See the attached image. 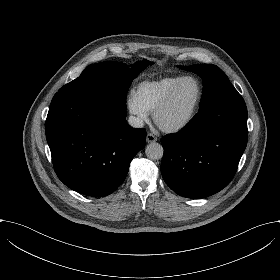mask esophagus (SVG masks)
<instances>
[{"label": "esophagus", "mask_w": 280, "mask_h": 280, "mask_svg": "<svg viewBox=\"0 0 280 280\" xmlns=\"http://www.w3.org/2000/svg\"><path fill=\"white\" fill-rule=\"evenodd\" d=\"M157 140H158V138L155 135H153L152 133L147 134V137H146L147 143H153V142H156Z\"/></svg>", "instance_id": "34e87169"}]
</instances>
